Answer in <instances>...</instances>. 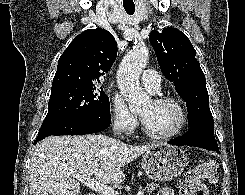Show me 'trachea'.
Returning <instances> with one entry per match:
<instances>
[{
    "mask_svg": "<svg viewBox=\"0 0 245 195\" xmlns=\"http://www.w3.org/2000/svg\"><path fill=\"white\" fill-rule=\"evenodd\" d=\"M125 11L127 12V14L129 15H133L135 12V7L132 8H125Z\"/></svg>",
    "mask_w": 245,
    "mask_h": 195,
    "instance_id": "obj_1",
    "label": "trachea"
}]
</instances>
